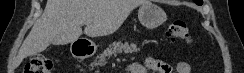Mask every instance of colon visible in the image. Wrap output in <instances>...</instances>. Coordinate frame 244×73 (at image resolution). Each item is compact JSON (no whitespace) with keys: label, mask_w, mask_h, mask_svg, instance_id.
I'll use <instances>...</instances> for the list:
<instances>
[{"label":"colon","mask_w":244,"mask_h":73,"mask_svg":"<svg viewBox=\"0 0 244 73\" xmlns=\"http://www.w3.org/2000/svg\"><path fill=\"white\" fill-rule=\"evenodd\" d=\"M169 35L174 41L190 42L191 35L183 20H173L169 25ZM53 63L44 56H34L25 65L23 73H50Z\"/></svg>","instance_id":"1"}]
</instances>
